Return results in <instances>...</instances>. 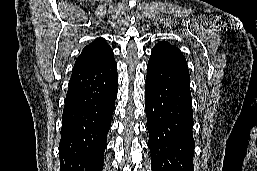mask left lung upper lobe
<instances>
[{
	"label": "left lung upper lobe",
	"mask_w": 257,
	"mask_h": 171,
	"mask_svg": "<svg viewBox=\"0 0 257 171\" xmlns=\"http://www.w3.org/2000/svg\"><path fill=\"white\" fill-rule=\"evenodd\" d=\"M156 46H159V47H165V46H172L171 44H169L168 42H159L158 44L155 45Z\"/></svg>",
	"instance_id": "obj_1"
}]
</instances>
